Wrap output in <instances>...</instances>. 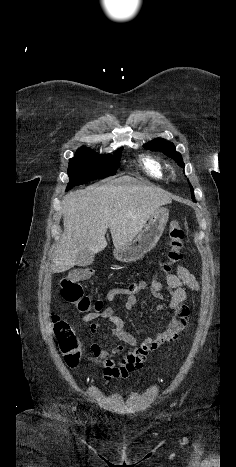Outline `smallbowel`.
Returning <instances> with one entry per match:
<instances>
[{
    "label": "small bowel",
    "mask_w": 236,
    "mask_h": 467,
    "mask_svg": "<svg viewBox=\"0 0 236 467\" xmlns=\"http://www.w3.org/2000/svg\"><path fill=\"white\" fill-rule=\"evenodd\" d=\"M165 281L166 285L164 286L156 274L150 282L139 281L127 287L113 288L105 297L107 305L102 311L98 313L88 312L82 316L83 323H91L89 328L91 334L97 333L99 329L96 320H108L114 326L112 335L133 347L127 350L123 346H117L114 352H109L97 343L91 344L90 359L93 363L102 364L103 374L107 380L113 378L126 379L132 373L140 370L149 353L164 344L176 340L189 324L190 311L188 306L184 304L187 298L185 287L192 291H198L199 283L197 279L185 266L180 265L175 274L165 275ZM164 289L169 291V308L173 312V316L164 331L139 343L137 338L126 330L124 320L114 314L110 304L116 297L123 295L126 297L124 307L130 310L136 305L140 294L148 291L153 297L163 299ZM158 309L163 310V306L160 305ZM117 354H122L118 362L115 360Z\"/></svg>",
    "instance_id": "small-bowel-1"
}]
</instances>
